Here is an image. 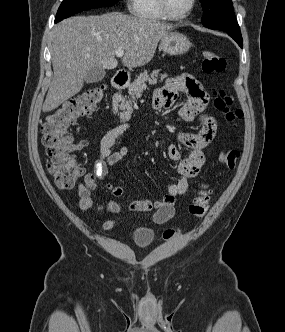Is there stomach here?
Wrapping results in <instances>:
<instances>
[{"instance_id": "stomach-1", "label": "stomach", "mask_w": 285, "mask_h": 332, "mask_svg": "<svg viewBox=\"0 0 285 332\" xmlns=\"http://www.w3.org/2000/svg\"><path fill=\"white\" fill-rule=\"evenodd\" d=\"M160 47L169 55H182L189 50L191 43L185 35L171 31L161 39Z\"/></svg>"}]
</instances>
